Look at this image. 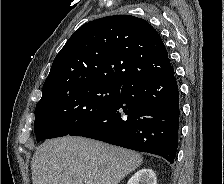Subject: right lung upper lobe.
Segmentation results:
<instances>
[{"label": "right lung upper lobe", "mask_w": 224, "mask_h": 184, "mask_svg": "<svg viewBox=\"0 0 224 184\" xmlns=\"http://www.w3.org/2000/svg\"><path fill=\"white\" fill-rule=\"evenodd\" d=\"M172 70L160 35L146 20L108 16L71 35L53 61L40 101L81 83L125 85Z\"/></svg>", "instance_id": "obj_1"}]
</instances>
